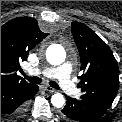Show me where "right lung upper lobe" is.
<instances>
[{
	"instance_id": "cb5924a9",
	"label": "right lung upper lobe",
	"mask_w": 122,
	"mask_h": 122,
	"mask_svg": "<svg viewBox=\"0 0 122 122\" xmlns=\"http://www.w3.org/2000/svg\"><path fill=\"white\" fill-rule=\"evenodd\" d=\"M47 35L39 29L37 20L29 17H18L1 26V87L31 85L16 71L27 60L29 51Z\"/></svg>"
}]
</instances>
